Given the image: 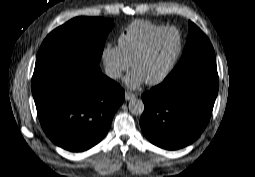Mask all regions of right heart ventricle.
Returning <instances> with one entry per match:
<instances>
[{
	"mask_svg": "<svg viewBox=\"0 0 255 177\" xmlns=\"http://www.w3.org/2000/svg\"><path fill=\"white\" fill-rule=\"evenodd\" d=\"M163 28L165 26L161 24L147 20H136L123 29L118 38V43L128 62H132L137 52L153 33Z\"/></svg>",
	"mask_w": 255,
	"mask_h": 177,
	"instance_id": "right-heart-ventricle-1",
	"label": "right heart ventricle"
}]
</instances>
